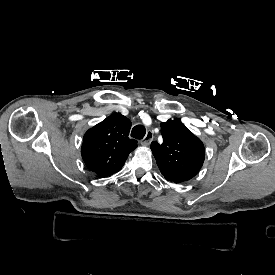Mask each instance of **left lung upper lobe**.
<instances>
[{
	"label": "left lung upper lobe",
	"mask_w": 275,
	"mask_h": 275,
	"mask_svg": "<svg viewBox=\"0 0 275 275\" xmlns=\"http://www.w3.org/2000/svg\"><path fill=\"white\" fill-rule=\"evenodd\" d=\"M163 143H151L157 165L168 181L181 183L193 178L205 159L202 141L181 121L161 123Z\"/></svg>",
	"instance_id": "obj_1"
}]
</instances>
